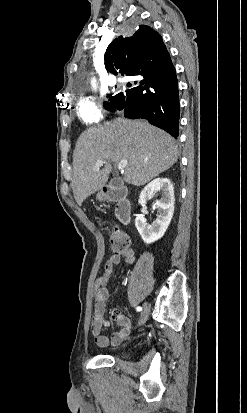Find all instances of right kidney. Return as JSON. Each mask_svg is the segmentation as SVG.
Here are the masks:
<instances>
[{
    "instance_id": "ca27d5eb",
    "label": "right kidney",
    "mask_w": 247,
    "mask_h": 413,
    "mask_svg": "<svg viewBox=\"0 0 247 413\" xmlns=\"http://www.w3.org/2000/svg\"><path fill=\"white\" fill-rule=\"evenodd\" d=\"M154 190H162V198L155 202V209H158L156 221L149 225L143 215H138L135 219V227L147 245L163 237L174 213V188L169 178H154L149 184H146L139 194V204H147Z\"/></svg>"
}]
</instances>
